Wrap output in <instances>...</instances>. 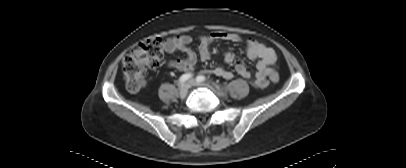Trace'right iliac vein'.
<instances>
[{
	"label": "right iliac vein",
	"instance_id": "right-iliac-vein-1",
	"mask_svg": "<svg viewBox=\"0 0 406 168\" xmlns=\"http://www.w3.org/2000/svg\"><path fill=\"white\" fill-rule=\"evenodd\" d=\"M190 85H191V84H190V82H189V83H185L184 85L181 86L180 92H179L180 97L184 98V97L187 95L188 90H189V88H190Z\"/></svg>",
	"mask_w": 406,
	"mask_h": 168
}]
</instances>
